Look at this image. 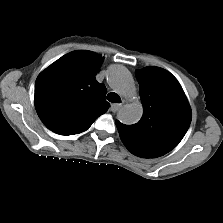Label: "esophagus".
Wrapping results in <instances>:
<instances>
[{"mask_svg":"<svg viewBox=\"0 0 223 223\" xmlns=\"http://www.w3.org/2000/svg\"><path fill=\"white\" fill-rule=\"evenodd\" d=\"M120 108H121V104L113 103V104H111L110 110L112 112H117Z\"/></svg>","mask_w":223,"mask_h":223,"instance_id":"1","label":"esophagus"}]
</instances>
